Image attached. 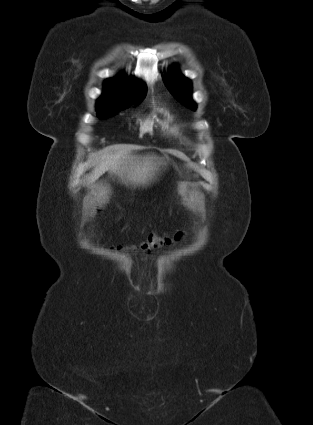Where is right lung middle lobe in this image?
Wrapping results in <instances>:
<instances>
[{"label":"right lung middle lobe","mask_w":313,"mask_h":425,"mask_svg":"<svg viewBox=\"0 0 313 425\" xmlns=\"http://www.w3.org/2000/svg\"><path fill=\"white\" fill-rule=\"evenodd\" d=\"M141 101L142 100L132 103L136 105L139 104ZM132 103H126L120 100H106L102 102H97V116L99 118H106L115 115L120 110L128 108Z\"/></svg>","instance_id":"1"}]
</instances>
